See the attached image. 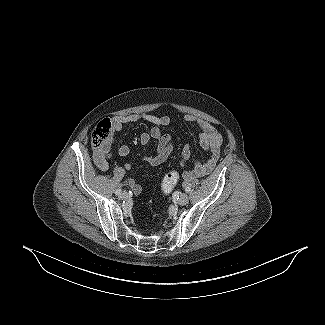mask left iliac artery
I'll use <instances>...</instances> for the list:
<instances>
[{
    "instance_id": "left-iliac-artery-1",
    "label": "left iliac artery",
    "mask_w": 325,
    "mask_h": 325,
    "mask_svg": "<svg viewBox=\"0 0 325 325\" xmlns=\"http://www.w3.org/2000/svg\"><path fill=\"white\" fill-rule=\"evenodd\" d=\"M185 191H186V192H189V191H190V189H189V188H186V189H185Z\"/></svg>"
}]
</instances>
